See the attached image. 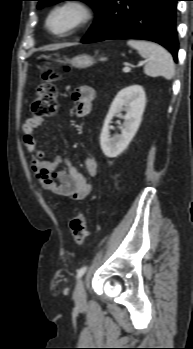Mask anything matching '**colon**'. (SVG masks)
Instances as JSON below:
<instances>
[{
    "mask_svg": "<svg viewBox=\"0 0 193 349\" xmlns=\"http://www.w3.org/2000/svg\"><path fill=\"white\" fill-rule=\"evenodd\" d=\"M66 70H68L67 67ZM57 79L58 75L54 71L43 73L42 81L37 87L35 99L32 105L33 117H51L56 113L58 108ZM70 230L74 241L78 245H82L88 236L86 218L83 213L78 212L74 215L70 221Z\"/></svg>",
    "mask_w": 193,
    "mask_h": 349,
    "instance_id": "colon-1",
    "label": "colon"
}]
</instances>
